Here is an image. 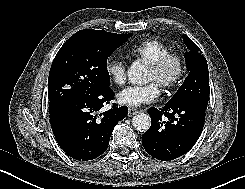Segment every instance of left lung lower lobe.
<instances>
[{
	"label": "left lung lower lobe",
	"mask_w": 245,
	"mask_h": 189,
	"mask_svg": "<svg viewBox=\"0 0 245 189\" xmlns=\"http://www.w3.org/2000/svg\"><path fill=\"white\" fill-rule=\"evenodd\" d=\"M206 108L196 101L168 102L162 109L150 108L151 126L142 136L146 152L162 161L185 154L201 135Z\"/></svg>",
	"instance_id": "1"
}]
</instances>
